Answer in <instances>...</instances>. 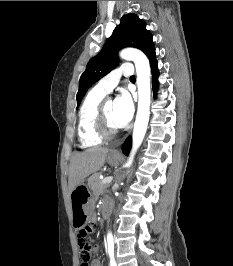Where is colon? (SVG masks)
Listing matches in <instances>:
<instances>
[{
    "label": "colon",
    "instance_id": "1",
    "mask_svg": "<svg viewBox=\"0 0 233 266\" xmlns=\"http://www.w3.org/2000/svg\"><path fill=\"white\" fill-rule=\"evenodd\" d=\"M96 225L93 222H89L85 232H78V246L80 249V266H88L91 254V246L86 241L87 234L93 232Z\"/></svg>",
    "mask_w": 233,
    "mask_h": 266
}]
</instances>
